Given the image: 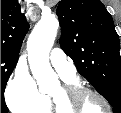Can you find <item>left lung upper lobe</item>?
Returning <instances> with one entry per match:
<instances>
[{"mask_svg": "<svg viewBox=\"0 0 121 113\" xmlns=\"http://www.w3.org/2000/svg\"><path fill=\"white\" fill-rule=\"evenodd\" d=\"M60 45L79 73L121 113V56L111 15L100 0H62Z\"/></svg>", "mask_w": 121, "mask_h": 113, "instance_id": "left-lung-upper-lobe-1", "label": "left lung upper lobe"}]
</instances>
